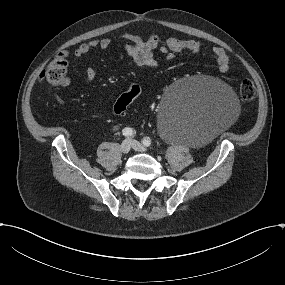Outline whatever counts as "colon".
Masks as SVG:
<instances>
[{
  "label": "colon",
  "mask_w": 285,
  "mask_h": 285,
  "mask_svg": "<svg viewBox=\"0 0 285 285\" xmlns=\"http://www.w3.org/2000/svg\"><path fill=\"white\" fill-rule=\"evenodd\" d=\"M66 71L67 60L64 55H59L48 66L46 77L50 83L57 85L65 77ZM140 93L141 87L138 84L129 85L128 89L117 99L114 105V112L116 114L123 113ZM237 94L241 101H251L256 96L255 85L250 80H243L237 88Z\"/></svg>",
  "instance_id": "5ec220e1"
}]
</instances>
